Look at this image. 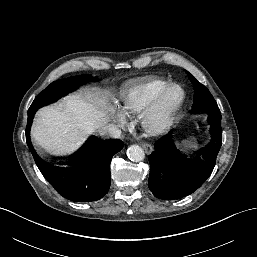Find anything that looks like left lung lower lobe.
<instances>
[{
    "label": "left lung lower lobe",
    "mask_w": 257,
    "mask_h": 257,
    "mask_svg": "<svg viewBox=\"0 0 257 257\" xmlns=\"http://www.w3.org/2000/svg\"><path fill=\"white\" fill-rule=\"evenodd\" d=\"M210 141L188 156L176 147L172 132L155 143L149 155L150 175L148 186L155 197L173 200L190 195L211 175L222 145L221 113L209 114Z\"/></svg>",
    "instance_id": "obj_1"
}]
</instances>
